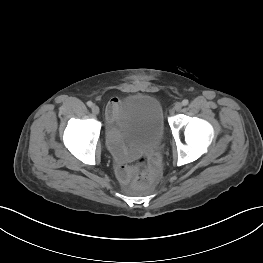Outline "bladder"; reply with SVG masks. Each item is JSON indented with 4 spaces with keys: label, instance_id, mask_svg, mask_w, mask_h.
<instances>
[{
    "label": "bladder",
    "instance_id": "obj_1",
    "mask_svg": "<svg viewBox=\"0 0 263 263\" xmlns=\"http://www.w3.org/2000/svg\"><path fill=\"white\" fill-rule=\"evenodd\" d=\"M116 129L120 138L130 146L140 149L157 146L164 136L159 101L142 93L126 96L119 108Z\"/></svg>",
    "mask_w": 263,
    "mask_h": 263
}]
</instances>
